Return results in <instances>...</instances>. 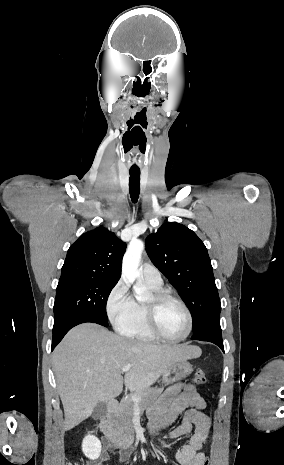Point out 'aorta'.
<instances>
[{"label": "aorta", "mask_w": 284, "mask_h": 465, "mask_svg": "<svg viewBox=\"0 0 284 465\" xmlns=\"http://www.w3.org/2000/svg\"><path fill=\"white\" fill-rule=\"evenodd\" d=\"M144 249V243L141 240H132L125 252L122 263V276L126 282L134 283L140 277L138 270L141 260V254ZM135 297L137 300H144L147 297V292L142 283L134 285Z\"/></svg>", "instance_id": "aorta-1"}]
</instances>
